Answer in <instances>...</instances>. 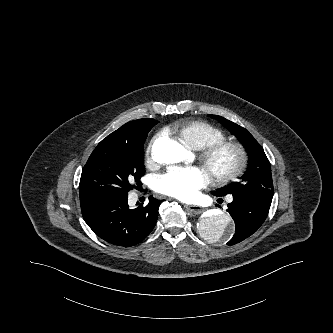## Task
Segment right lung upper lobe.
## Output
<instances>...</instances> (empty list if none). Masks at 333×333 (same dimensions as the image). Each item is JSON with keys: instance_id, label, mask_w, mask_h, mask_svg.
Segmentation results:
<instances>
[{"instance_id": "right-lung-upper-lobe-1", "label": "right lung upper lobe", "mask_w": 333, "mask_h": 333, "mask_svg": "<svg viewBox=\"0 0 333 333\" xmlns=\"http://www.w3.org/2000/svg\"><path fill=\"white\" fill-rule=\"evenodd\" d=\"M137 120L128 122L122 127L108 135L103 139L95 149L101 147L102 145L109 146H125V147H134L141 140V125L142 121Z\"/></svg>"}]
</instances>
